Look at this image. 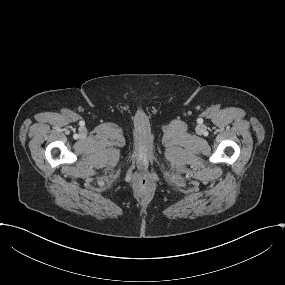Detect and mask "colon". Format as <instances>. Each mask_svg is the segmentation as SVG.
<instances>
[{
	"label": "colon",
	"mask_w": 285,
	"mask_h": 285,
	"mask_svg": "<svg viewBox=\"0 0 285 285\" xmlns=\"http://www.w3.org/2000/svg\"><path fill=\"white\" fill-rule=\"evenodd\" d=\"M137 185L141 189H148L151 186V182L146 175H141L137 178Z\"/></svg>",
	"instance_id": "1"
}]
</instances>
